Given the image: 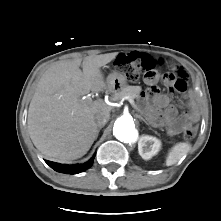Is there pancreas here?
<instances>
[{"instance_id": "1", "label": "pancreas", "mask_w": 221, "mask_h": 221, "mask_svg": "<svg viewBox=\"0 0 221 221\" xmlns=\"http://www.w3.org/2000/svg\"><path fill=\"white\" fill-rule=\"evenodd\" d=\"M140 91V86H126L120 92L115 94V99H120L125 96H130L135 99L139 96Z\"/></svg>"}]
</instances>
